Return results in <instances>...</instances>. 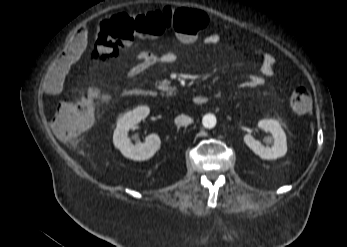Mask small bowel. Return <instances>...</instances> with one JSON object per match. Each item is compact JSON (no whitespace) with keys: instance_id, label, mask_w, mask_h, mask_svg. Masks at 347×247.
Returning <instances> with one entry per match:
<instances>
[{"instance_id":"small-bowel-1","label":"small bowel","mask_w":347,"mask_h":247,"mask_svg":"<svg viewBox=\"0 0 347 247\" xmlns=\"http://www.w3.org/2000/svg\"><path fill=\"white\" fill-rule=\"evenodd\" d=\"M86 42V32H77L69 41L66 51L50 64L48 69V84L52 93L58 91L64 71L72 62L73 56L79 55L85 49ZM204 42L209 45H217L220 42V36L215 33L209 34L205 37ZM255 52L260 57L259 73L251 74L247 77L244 82V85L247 87H259L263 85L266 79L271 77L275 72V58L260 47H256ZM136 59L137 62L126 70V76L128 78H134L142 74L157 62L164 64L174 63L178 59V55L175 52L169 51L157 56L150 51L144 50L136 54Z\"/></svg>"}]
</instances>
